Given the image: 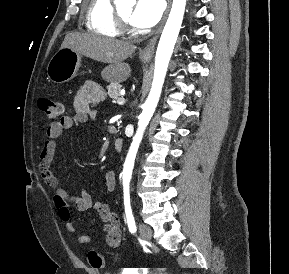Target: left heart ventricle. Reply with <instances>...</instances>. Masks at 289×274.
Here are the masks:
<instances>
[{
  "label": "left heart ventricle",
  "mask_w": 289,
  "mask_h": 274,
  "mask_svg": "<svg viewBox=\"0 0 289 274\" xmlns=\"http://www.w3.org/2000/svg\"><path fill=\"white\" fill-rule=\"evenodd\" d=\"M132 11L133 8L131 6H123L118 8V12L120 13V15L129 21Z\"/></svg>",
  "instance_id": "1"
}]
</instances>
